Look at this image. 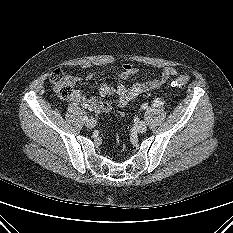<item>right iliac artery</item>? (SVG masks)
<instances>
[{"label": "right iliac artery", "mask_w": 233, "mask_h": 233, "mask_svg": "<svg viewBox=\"0 0 233 233\" xmlns=\"http://www.w3.org/2000/svg\"><path fill=\"white\" fill-rule=\"evenodd\" d=\"M82 120L87 122L88 121V116H84Z\"/></svg>", "instance_id": "1"}]
</instances>
